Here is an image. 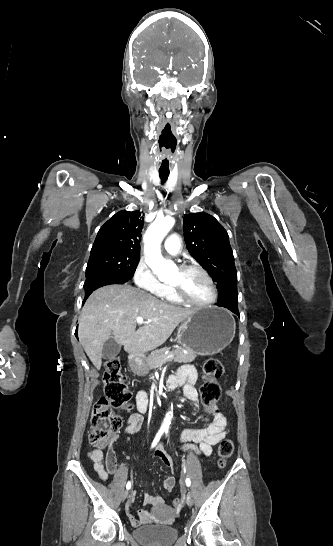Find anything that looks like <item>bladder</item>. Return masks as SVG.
<instances>
[{
  "label": "bladder",
  "instance_id": "1",
  "mask_svg": "<svg viewBox=\"0 0 333 546\" xmlns=\"http://www.w3.org/2000/svg\"><path fill=\"white\" fill-rule=\"evenodd\" d=\"M132 534L144 546H170L178 538V530L175 527L160 524L137 526Z\"/></svg>",
  "mask_w": 333,
  "mask_h": 546
}]
</instances>
